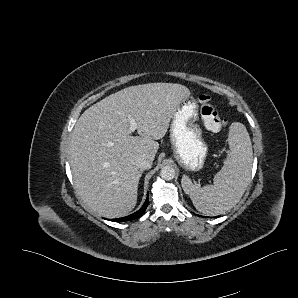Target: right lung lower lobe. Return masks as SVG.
<instances>
[{"label": "right lung lower lobe", "mask_w": 298, "mask_h": 298, "mask_svg": "<svg viewBox=\"0 0 298 298\" xmlns=\"http://www.w3.org/2000/svg\"><path fill=\"white\" fill-rule=\"evenodd\" d=\"M148 203H149V197L146 198L145 200V203L143 204V206L135 213L129 215V216H126V217H122V218H118V219H112L111 221H115V222H122V221H129V220H134V219H137L139 217H141L147 206H148Z\"/></svg>", "instance_id": "obj_1"}]
</instances>
